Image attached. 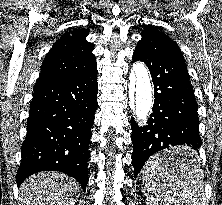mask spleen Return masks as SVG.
Segmentation results:
<instances>
[{"mask_svg":"<svg viewBox=\"0 0 222 205\" xmlns=\"http://www.w3.org/2000/svg\"><path fill=\"white\" fill-rule=\"evenodd\" d=\"M142 191L147 205H207L199 166L161 154L143 167Z\"/></svg>","mask_w":222,"mask_h":205,"instance_id":"1","label":"spleen"}]
</instances>
